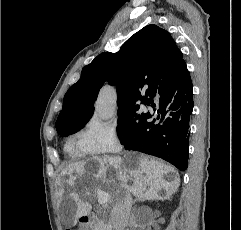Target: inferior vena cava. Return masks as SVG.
Masks as SVG:
<instances>
[{"instance_id": "602c4592", "label": "inferior vena cava", "mask_w": 241, "mask_h": 230, "mask_svg": "<svg viewBox=\"0 0 241 230\" xmlns=\"http://www.w3.org/2000/svg\"><path fill=\"white\" fill-rule=\"evenodd\" d=\"M119 179L125 189L124 197L113 207L111 211V222L114 230H125L129 221L133 200L122 174H119Z\"/></svg>"}]
</instances>
